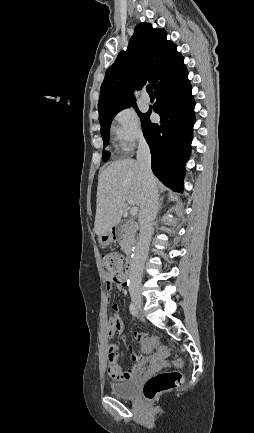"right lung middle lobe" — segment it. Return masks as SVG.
Returning <instances> with one entry per match:
<instances>
[{"instance_id":"obj_1","label":"right lung middle lobe","mask_w":254,"mask_h":433,"mask_svg":"<svg viewBox=\"0 0 254 433\" xmlns=\"http://www.w3.org/2000/svg\"><path fill=\"white\" fill-rule=\"evenodd\" d=\"M130 106H134V108L136 109L137 113L139 114L140 118L143 116V114L137 109L136 104L135 103H130V104H126L123 105L117 109L111 110L108 113L104 114V116L102 117V119H100V125H101V135H102V139H103V143H104V147H106L109 143V131H110V125L111 122L114 118V116L121 110L130 107ZM110 157V154L108 151H103V161H107Z\"/></svg>"}]
</instances>
